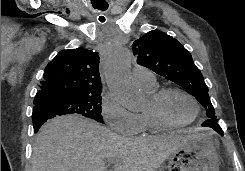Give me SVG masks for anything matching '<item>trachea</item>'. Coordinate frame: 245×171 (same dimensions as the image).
Here are the masks:
<instances>
[{"instance_id": "obj_1", "label": "trachea", "mask_w": 245, "mask_h": 171, "mask_svg": "<svg viewBox=\"0 0 245 171\" xmlns=\"http://www.w3.org/2000/svg\"><path fill=\"white\" fill-rule=\"evenodd\" d=\"M95 1H100L94 4V8L105 11L108 8V3L103 1V0H95ZM100 22H105V18L99 17Z\"/></svg>"}]
</instances>
